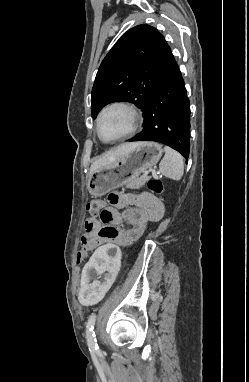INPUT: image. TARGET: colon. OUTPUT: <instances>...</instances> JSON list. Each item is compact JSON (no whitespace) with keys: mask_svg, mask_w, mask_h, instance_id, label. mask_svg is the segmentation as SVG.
<instances>
[{"mask_svg":"<svg viewBox=\"0 0 249 382\" xmlns=\"http://www.w3.org/2000/svg\"><path fill=\"white\" fill-rule=\"evenodd\" d=\"M149 188L156 192L160 193L163 191V184L159 180H151L148 183ZM104 208V202L101 199L95 198L88 202L87 204V210L91 214H101ZM85 256V252L82 250L78 253V262L76 263V266L78 268H81L83 266V263L81 262Z\"/></svg>","mask_w":249,"mask_h":382,"instance_id":"colon-1","label":"colon"}]
</instances>
